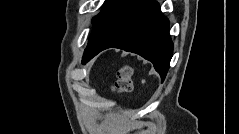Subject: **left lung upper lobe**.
<instances>
[{
	"mask_svg": "<svg viewBox=\"0 0 239 134\" xmlns=\"http://www.w3.org/2000/svg\"><path fill=\"white\" fill-rule=\"evenodd\" d=\"M124 1L125 0H106L104 2L101 13L92 19L94 23V28L89 39L94 37L104 28V26L108 23L113 14L116 12V10L120 7V5ZM84 61L85 58L83 57L82 62Z\"/></svg>",
	"mask_w": 239,
	"mask_h": 134,
	"instance_id": "5c2ea615",
	"label": "left lung upper lobe"
}]
</instances>
